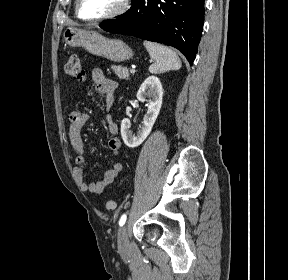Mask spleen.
<instances>
[{"label":"spleen","instance_id":"obj_1","mask_svg":"<svg viewBox=\"0 0 288 280\" xmlns=\"http://www.w3.org/2000/svg\"><path fill=\"white\" fill-rule=\"evenodd\" d=\"M143 45L150 57L155 60L149 67L150 73L159 74L169 70L180 69L181 60L176 52L169 47L150 41H144Z\"/></svg>","mask_w":288,"mask_h":280}]
</instances>
